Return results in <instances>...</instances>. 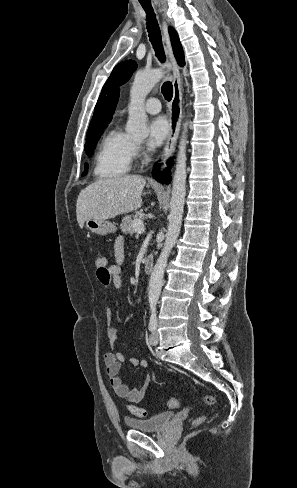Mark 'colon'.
Masks as SVG:
<instances>
[{"label":"colon","mask_w":297,"mask_h":488,"mask_svg":"<svg viewBox=\"0 0 297 488\" xmlns=\"http://www.w3.org/2000/svg\"><path fill=\"white\" fill-rule=\"evenodd\" d=\"M107 263H108V257L106 255H100L96 258V267H97V270H100L101 272L105 271L106 269V266H107ZM204 401L207 405L209 406H214L215 405V398L213 396H205L204 397ZM179 406V401L178 399L176 398H173L171 400H169L168 402V407L169 408H177ZM129 410L131 411V413H133L134 415H136L137 417H140V418H143L146 416V411L141 408V407H137V406H129ZM206 419V416L205 415H202V416H199L197 417L194 421H193V424L194 425H199L201 423H203V421Z\"/></svg>","instance_id":"obj_1"}]
</instances>
